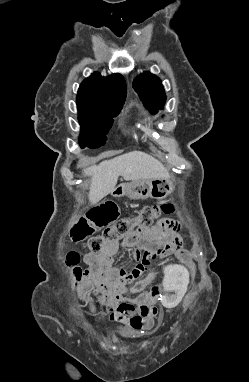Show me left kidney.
<instances>
[{
  "mask_svg": "<svg viewBox=\"0 0 249 382\" xmlns=\"http://www.w3.org/2000/svg\"><path fill=\"white\" fill-rule=\"evenodd\" d=\"M167 267L164 266L161 269L164 276H161L160 280L163 283L165 295H162L160 304L163 309H176L183 298H186L191 279L188 271L183 266H179L178 262H173L169 270Z\"/></svg>",
  "mask_w": 249,
  "mask_h": 382,
  "instance_id": "obj_1",
  "label": "left kidney"
}]
</instances>
